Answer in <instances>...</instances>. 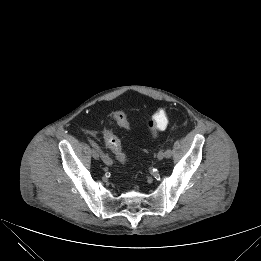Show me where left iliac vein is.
I'll return each instance as SVG.
<instances>
[{
  "label": "left iliac vein",
  "instance_id": "obj_1",
  "mask_svg": "<svg viewBox=\"0 0 261 261\" xmlns=\"http://www.w3.org/2000/svg\"><path fill=\"white\" fill-rule=\"evenodd\" d=\"M164 157H165V152L163 150H160L157 155L158 160H162Z\"/></svg>",
  "mask_w": 261,
  "mask_h": 261
}]
</instances>
